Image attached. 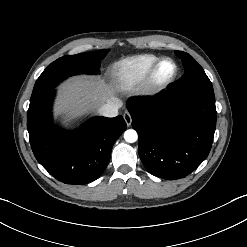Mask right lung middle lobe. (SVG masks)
I'll return each mask as SVG.
<instances>
[{
  "mask_svg": "<svg viewBox=\"0 0 247 247\" xmlns=\"http://www.w3.org/2000/svg\"><path fill=\"white\" fill-rule=\"evenodd\" d=\"M109 50H100L77 55L63 56L51 63L37 79L30 99V105L38 103L51 93L64 79L79 73L98 74L101 60Z\"/></svg>",
  "mask_w": 247,
  "mask_h": 247,
  "instance_id": "1",
  "label": "right lung middle lobe"
}]
</instances>
